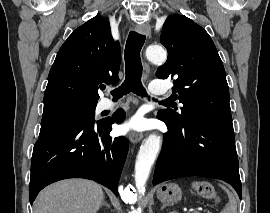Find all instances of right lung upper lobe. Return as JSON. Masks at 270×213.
Instances as JSON below:
<instances>
[{
  "mask_svg": "<svg viewBox=\"0 0 270 213\" xmlns=\"http://www.w3.org/2000/svg\"><path fill=\"white\" fill-rule=\"evenodd\" d=\"M121 62L108 19L95 16L75 29L59 49L49 72L44 106L61 101L96 103L101 83H116Z\"/></svg>",
  "mask_w": 270,
  "mask_h": 213,
  "instance_id": "right-lung-upper-lobe-1",
  "label": "right lung upper lobe"
}]
</instances>
